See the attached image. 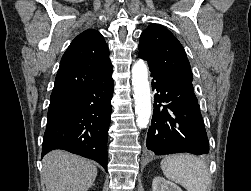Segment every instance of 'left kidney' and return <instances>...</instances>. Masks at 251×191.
I'll return each instance as SVG.
<instances>
[{
    "label": "left kidney",
    "instance_id": "5707ae66",
    "mask_svg": "<svg viewBox=\"0 0 251 191\" xmlns=\"http://www.w3.org/2000/svg\"><path fill=\"white\" fill-rule=\"evenodd\" d=\"M152 191H182V189L176 183H172V181L156 175L152 181Z\"/></svg>",
    "mask_w": 251,
    "mask_h": 191
}]
</instances>
